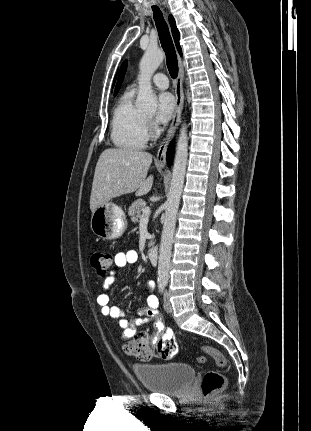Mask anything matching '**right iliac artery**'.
I'll list each match as a JSON object with an SVG mask.
<instances>
[{
	"instance_id": "1",
	"label": "right iliac artery",
	"mask_w": 311,
	"mask_h": 431,
	"mask_svg": "<svg viewBox=\"0 0 311 431\" xmlns=\"http://www.w3.org/2000/svg\"><path fill=\"white\" fill-rule=\"evenodd\" d=\"M158 287H159V291H160L161 293H163V292H164V289H165V284H164V283H160V284L158 285Z\"/></svg>"
}]
</instances>
